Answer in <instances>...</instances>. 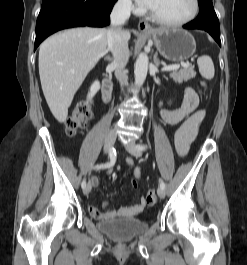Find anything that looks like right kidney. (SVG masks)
<instances>
[{"instance_id":"ca27d5eb","label":"right kidney","mask_w":247,"mask_h":265,"mask_svg":"<svg viewBox=\"0 0 247 265\" xmlns=\"http://www.w3.org/2000/svg\"><path fill=\"white\" fill-rule=\"evenodd\" d=\"M99 89H100V83L99 81H95L90 87L89 96L90 97L94 96Z\"/></svg>"}]
</instances>
